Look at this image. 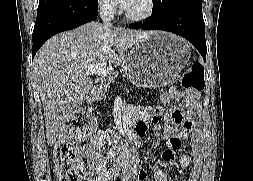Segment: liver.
Returning a JSON list of instances; mask_svg holds the SVG:
<instances>
[{"label":"liver","mask_w":253,"mask_h":181,"mask_svg":"<svg viewBox=\"0 0 253 181\" xmlns=\"http://www.w3.org/2000/svg\"><path fill=\"white\" fill-rule=\"evenodd\" d=\"M153 33L97 22L50 38L33 60L34 84L41 97L47 143L52 146L65 123L94 91L85 75L88 65L106 61L109 67L125 62V52Z\"/></svg>","instance_id":"6515ba94"}]
</instances>
